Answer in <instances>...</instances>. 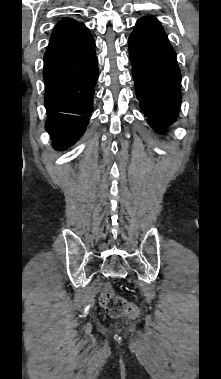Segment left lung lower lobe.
<instances>
[{
    "instance_id": "obj_1",
    "label": "left lung lower lobe",
    "mask_w": 221,
    "mask_h": 379,
    "mask_svg": "<svg viewBox=\"0 0 221 379\" xmlns=\"http://www.w3.org/2000/svg\"><path fill=\"white\" fill-rule=\"evenodd\" d=\"M129 56L141 111L156 131L172 125L181 103V73L166 33L154 17H143L129 37Z\"/></svg>"
}]
</instances>
